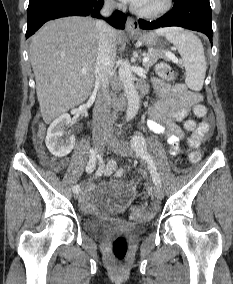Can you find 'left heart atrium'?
Masks as SVG:
<instances>
[{
    "mask_svg": "<svg viewBox=\"0 0 233 284\" xmlns=\"http://www.w3.org/2000/svg\"><path fill=\"white\" fill-rule=\"evenodd\" d=\"M122 1L130 3L134 6H140L144 0H122Z\"/></svg>",
    "mask_w": 233,
    "mask_h": 284,
    "instance_id": "obj_1",
    "label": "left heart atrium"
}]
</instances>
